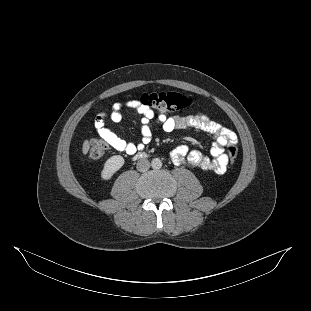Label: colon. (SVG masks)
<instances>
[{
	"mask_svg": "<svg viewBox=\"0 0 311 311\" xmlns=\"http://www.w3.org/2000/svg\"><path fill=\"white\" fill-rule=\"evenodd\" d=\"M140 101L163 113H174L187 108L190 105V100L186 96L176 92H154L145 93L141 96ZM107 150L106 142L95 140L89 150L88 157L95 161L100 159ZM229 161L233 164L238 156L237 147L232 144L228 148Z\"/></svg>",
	"mask_w": 311,
	"mask_h": 311,
	"instance_id": "5ec220e1",
	"label": "colon"
}]
</instances>
